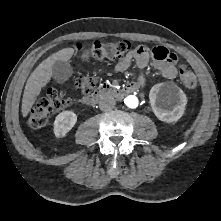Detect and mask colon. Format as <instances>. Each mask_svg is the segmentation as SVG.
<instances>
[{
  "label": "colon",
  "instance_id": "1",
  "mask_svg": "<svg viewBox=\"0 0 221 221\" xmlns=\"http://www.w3.org/2000/svg\"><path fill=\"white\" fill-rule=\"evenodd\" d=\"M130 47L129 41L120 40L117 42L97 41L88 47L79 46L78 49L83 59L116 60L123 59L129 53ZM180 80L188 89H193L197 85L195 74L186 68L180 69ZM76 84L84 93H91L95 87V79L92 76L84 75L77 79ZM68 103L69 101L63 92L56 90L47 91L40 95L34 104L29 115V124L33 128L45 126L50 115L68 105Z\"/></svg>",
  "mask_w": 221,
  "mask_h": 221
}]
</instances>
